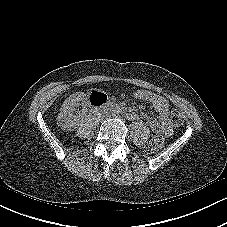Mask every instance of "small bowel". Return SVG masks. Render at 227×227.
Returning a JSON list of instances; mask_svg holds the SVG:
<instances>
[{"label":"small bowel","mask_w":227,"mask_h":227,"mask_svg":"<svg viewBox=\"0 0 227 227\" xmlns=\"http://www.w3.org/2000/svg\"><path fill=\"white\" fill-rule=\"evenodd\" d=\"M133 97L138 100L149 102L157 112L158 118H147V123L150 128L156 133H162L166 136L171 135L172 127L170 122L169 104L166 98L148 90H137L133 93Z\"/></svg>","instance_id":"small-bowel-1"}]
</instances>
